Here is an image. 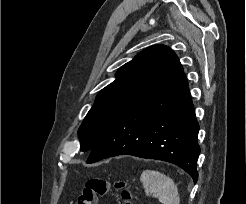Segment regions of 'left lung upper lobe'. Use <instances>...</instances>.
<instances>
[{
	"label": "left lung upper lobe",
	"mask_w": 246,
	"mask_h": 204,
	"mask_svg": "<svg viewBox=\"0 0 246 204\" xmlns=\"http://www.w3.org/2000/svg\"><path fill=\"white\" fill-rule=\"evenodd\" d=\"M182 72L178 57L164 45L151 46L120 67L79 128L80 150L90 151L115 122Z\"/></svg>",
	"instance_id": "left-lung-upper-lobe-1"
}]
</instances>
